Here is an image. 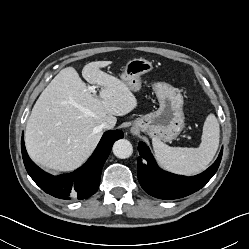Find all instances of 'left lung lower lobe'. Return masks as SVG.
<instances>
[{"instance_id": "0a47b994", "label": "left lung lower lobe", "mask_w": 249, "mask_h": 249, "mask_svg": "<svg viewBox=\"0 0 249 249\" xmlns=\"http://www.w3.org/2000/svg\"><path fill=\"white\" fill-rule=\"evenodd\" d=\"M138 150L140 154L138 159L139 183L148 194L160 199L182 198L201 189L216 173L223 152L222 148L214 164L203 173L186 177L161 170L145 143L140 142Z\"/></svg>"}]
</instances>
